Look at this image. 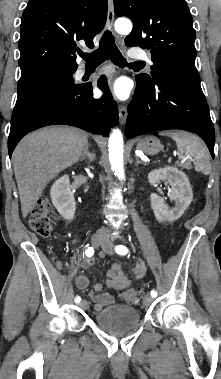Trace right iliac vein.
I'll list each match as a JSON object with an SVG mask.
<instances>
[{
	"label": "right iliac vein",
	"instance_id": "right-iliac-vein-1",
	"mask_svg": "<svg viewBox=\"0 0 221 379\" xmlns=\"http://www.w3.org/2000/svg\"><path fill=\"white\" fill-rule=\"evenodd\" d=\"M104 238L101 235H94L92 238V244L94 247H99L104 243ZM79 306L83 309L88 307V302L86 300H82Z\"/></svg>",
	"mask_w": 221,
	"mask_h": 379
}]
</instances>
